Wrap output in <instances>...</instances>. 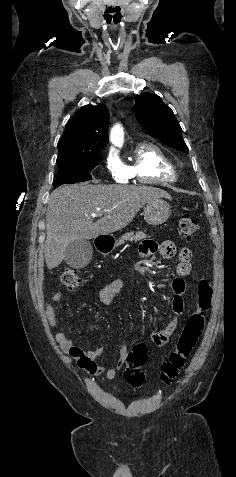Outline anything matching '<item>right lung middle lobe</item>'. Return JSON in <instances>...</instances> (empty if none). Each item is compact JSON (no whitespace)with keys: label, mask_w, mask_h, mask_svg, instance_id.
Here are the masks:
<instances>
[{"label":"right lung middle lobe","mask_w":236,"mask_h":477,"mask_svg":"<svg viewBox=\"0 0 236 477\" xmlns=\"http://www.w3.org/2000/svg\"><path fill=\"white\" fill-rule=\"evenodd\" d=\"M100 151L101 150L80 154L70 159L57 161L59 170L56 174L54 188L66 183H77L91 180V170L102 160V157L99 154Z\"/></svg>","instance_id":"dd1d6c3e"}]
</instances>
